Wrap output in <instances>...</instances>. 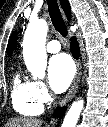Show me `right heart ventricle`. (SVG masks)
Here are the masks:
<instances>
[{"label":"right heart ventricle","instance_id":"right-heart-ventricle-1","mask_svg":"<svg viewBox=\"0 0 108 127\" xmlns=\"http://www.w3.org/2000/svg\"><path fill=\"white\" fill-rule=\"evenodd\" d=\"M12 106L16 112L24 116H36L43 110V104L38 101L33 82L16 73L11 87Z\"/></svg>","mask_w":108,"mask_h":127}]
</instances>
